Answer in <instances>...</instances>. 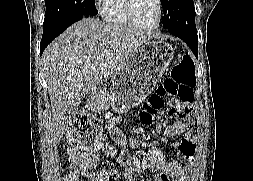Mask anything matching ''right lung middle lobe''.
I'll use <instances>...</instances> for the list:
<instances>
[{
  "instance_id": "right-lung-middle-lobe-1",
  "label": "right lung middle lobe",
  "mask_w": 253,
  "mask_h": 181,
  "mask_svg": "<svg viewBox=\"0 0 253 181\" xmlns=\"http://www.w3.org/2000/svg\"><path fill=\"white\" fill-rule=\"evenodd\" d=\"M43 30L56 27L80 16L97 15L94 0H45Z\"/></svg>"
}]
</instances>
